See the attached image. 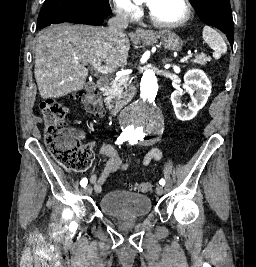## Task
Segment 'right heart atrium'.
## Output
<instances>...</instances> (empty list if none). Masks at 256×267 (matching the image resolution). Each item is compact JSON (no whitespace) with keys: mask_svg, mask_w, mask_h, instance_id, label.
Here are the masks:
<instances>
[{"mask_svg":"<svg viewBox=\"0 0 256 267\" xmlns=\"http://www.w3.org/2000/svg\"><path fill=\"white\" fill-rule=\"evenodd\" d=\"M141 8L139 6H134L131 10H129L128 12H126L124 14V16L128 19V20H137L140 16H141Z\"/></svg>","mask_w":256,"mask_h":267,"instance_id":"d8ad5b80","label":"right heart atrium"}]
</instances>
